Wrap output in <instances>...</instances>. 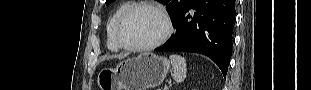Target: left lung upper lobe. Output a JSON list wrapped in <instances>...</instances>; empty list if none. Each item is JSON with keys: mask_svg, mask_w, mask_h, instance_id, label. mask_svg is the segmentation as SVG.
<instances>
[{"mask_svg": "<svg viewBox=\"0 0 311 90\" xmlns=\"http://www.w3.org/2000/svg\"><path fill=\"white\" fill-rule=\"evenodd\" d=\"M114 0H106V4L113 2ZM192 0H163L164 4H166V9L176 21L181 12L186 8V6Z\"/></svg>", "mask_w": 311, "mask_h": 90, "instance_id": "obj_1", "label": "left lung upper lobe"}]
</instances>
